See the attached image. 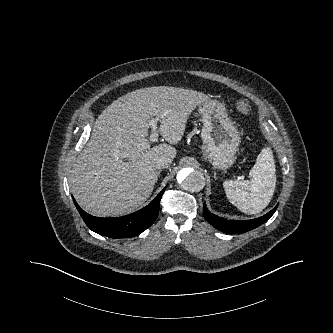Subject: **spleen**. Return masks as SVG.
Returning <instances> with one entry per match:
<instances>
[{"label":"spleen","instance_id":"3e777b00","mask_svg":"<svg viewBox=\"0 0 333 333\" xmlns=\"http://www.w3.org/2000/svg\"><path fill=\"white\" fill-rule=\"evenodd\" d=\"M276 166L270 147L262 149L250 170V180L223 183L229 201L246 214H257L270 203L276 186Z\"/></svg>","mask_w":333,"mask_h":333}]
</instances>
